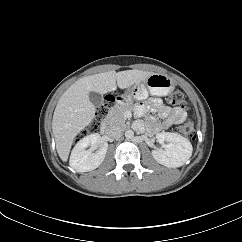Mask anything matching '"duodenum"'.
I'll return each mask as SVG.
<instances>
[{"label": "duodenum", "mask_w": 242, "mask_h": 242, "mask_svg": "<svg viewBox=\"0 0 242 242\" xmlns=\"http://www.w3.org/2000/svg\"><path fill=\"white\" fill-rule=\"evenodd\" d=\"M100 131H101L102 134H107V132H108V125H107L106 121L101 123Z\"/></svg>", "instance_id": "duodenum-1"}]
</instances>
